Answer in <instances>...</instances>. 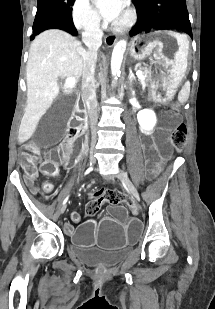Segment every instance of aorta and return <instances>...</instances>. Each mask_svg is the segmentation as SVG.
I'll list each match as a JSON object with an SVG mask.
<instances>
[{
    "label": "aorta",
    "mask_w": 215,
    "mask_h": 309,
    "mask_svg": "<svg viewBox=\"0 0 215 309\" xmlns=\"http://www.w3.org/2000/svg\"><path fill=\"white\" fill-rule=\"evenodd\" d=\"M127 40H118L116 42L111 56V74L114 76L112 82L117 80L118 72H120L123 54L126 50Z\"/></svg>",
    "instance_id": "obj_1"
}]
</instances>
